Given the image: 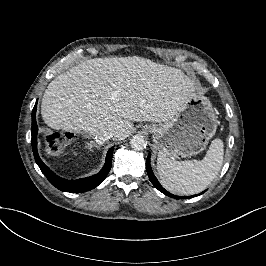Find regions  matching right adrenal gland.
I'll return each instance as SVG.
<instances>
[{
    "label": "right adrenal gland",
    "instance_id": "right-adrenal-gland-1",
    "mask_svg": "<svg viewBox=\"0 0 266 266\" xmlns=\"http://www.w3.org/2000/svg\"><path fill=\"white\" fill-rule=\"evenodd\" d=\"M87 145L89 146V150L93 151V147H96L98 150L100 149V145H97L95 142H87Z\"/></svg>",
    "mask_w": 266,
    "mask_h": 266
}]
</instances>
